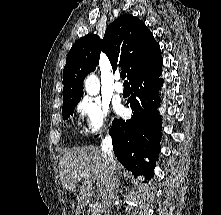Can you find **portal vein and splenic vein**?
<instances>
[{
	"mask_svg": "<svg viewBox=\"0 0 221 215\" xmlns=\"http://www.w3.org/2000/svg\"><path fill=\"white\" fill-rule=\"evenodd\" d=\"M88 177V176H87ZM101 208V203L100 202H96L94 205H93V209L94 210H98Z\"/></svg>",
	"mask_w": 221,
	"mask_h": 215,
	"instance_id": "18ae733b",
	"label": "portal vein and splenic vein"
}]
</instances>
